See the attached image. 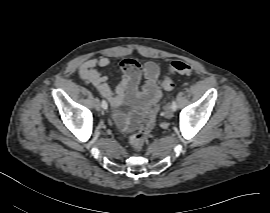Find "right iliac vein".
<instances>
[{"label":"right iliac vein","mask_w":270,"mask_h":213,"mask_svg":"<svg viewBox=\"0 0 270 213\" xmlns=\"http://www.w3.org/2000/svg\"><path fill=\"white\" fill-rule=\"evenodd\" d=\"M94 108L99 111L101 109V104L98 98H95L93 101Z\"/></svg>","instance_id":"1"}]
</instances>
